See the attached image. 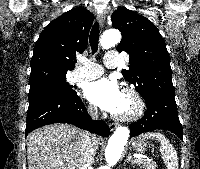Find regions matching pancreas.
<instances>
[{"label": "pancreas", "instance_id": "obj_1", "mask_svg": "<svg viewBox=\"0 0 200 169\" xmlns=\"http://www.w3.org/2000/svg\"><path fill=\"white\" fill-rule=\"evenodd\" d=\"M139 167L143 169H156L157 164L148 160H135L134 161Z\"/></svg>", "mask_w": 200, "mask_h": 169}]
</instances>
